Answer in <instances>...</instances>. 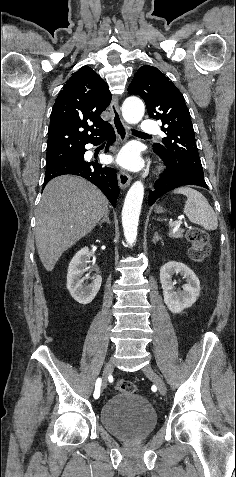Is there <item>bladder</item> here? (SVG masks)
Instances as JSON below:
<instances>
[{
	"label": "bladder",
	"instance_id": "bladder-1",
	"mask_svg": "<svg viewBox=\"0 0 236 477\" xmlns=\"http://www.w3.org/2000/svg\"><path fill=\"white\" fill-rule=\"evenodd\" d=\"M103 427L112 435L125 440L148 437L157 425L153 406L136 393L118 392L100 408Z\"/></svg>",
	"mask_w": 236,
	"mask_h": 477
}]
</instances>
